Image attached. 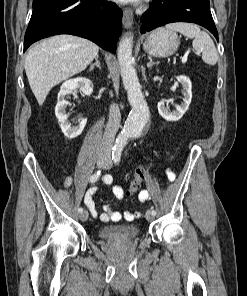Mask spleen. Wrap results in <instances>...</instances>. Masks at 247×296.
I'll list each match as a JSON object with an SVG mask.
<instances>
[{"label":"spleen","instance_id":"3e777b00","mask_svg":"<svg viewBox=\"0 0 247 296\" xmlns=\"http://www.w3.org/2000/svg\"><path fill=\"white\" fill-rule=\"evenodd\" d=\"M167 30L177 31L188 38H192L193 49L202 52V59L209 65H215L218 60V53L211 37L199 26L192 23H170L165 26Z\"/></svg>","mask_w":247,"mask_h":296}]
</instances>
